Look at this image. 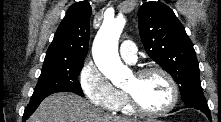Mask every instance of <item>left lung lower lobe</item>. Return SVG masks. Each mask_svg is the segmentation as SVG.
<instances>
[{
  "label": "left lung lower lobe",
  "mask_w": 221,
  "mask_h": 122,
  "mask_svg": "<svg viewBox=\"0 0 221 122\" xmlns=\"http://www.w3.org/2000/svg\"><path fill=\"white\" fill-rule=\"evenodd\" d=\"M185 107H190V108L201 110L203 113L207 115L208 119L211 120L210 110L206 102L186 104Z\"/></svg>",
  "instance_id": "obj_1"
}]
</instances>
